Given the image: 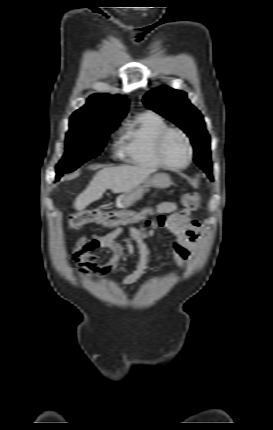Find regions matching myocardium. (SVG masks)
<instances>
[{"label": "myocardium", "instance_id": "f54148a6", "mask_svg": "<svg viewBox=\"0 0 273 430\" xmlns=\"http://www.w3.org/2000/svg\"><path fill=\"white\" fill-rule=\"evenodd\" d=\"M171 133H178L179 135H181L183 137V139L185 141V144L187 147V152H188V157H187L186 162L182 165L171 164L164 157L163 145H164V142H165L167 136ZM155 152H156V156H157L159 162L163 165V167H166V168L171 169V170L185 169L186 167H188L191 164L192 159H193V147H192L189 136L182 129L176 128V127H168L159 133V135L157 136V139H156Z\"/></svg>", "mask_w": 273, "mask_h": 430}]
</instances>
